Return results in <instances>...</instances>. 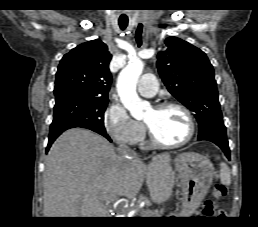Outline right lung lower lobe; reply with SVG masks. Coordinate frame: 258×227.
Listing matches in <instances>:
<instances>
[{
    "mask_svg": "<svg viewBox=\"0 0 258 227\" xmlns=\"http://www.w3.org/2000/svg\"><path fill=\"white\" fill-rule=\"evenodd\" d=\"M74 127H78L75 124L72 123H68V122H63V121H55L52 122L51 126H50V134H49V141H48V145L46 148V152H48L50 146L52 145V143L55 141V139L65 130L70 129V128H74ZM101 135H103L104 137H106L109 141H111L110 137L106 134L105 132H97Z\"/></svg>",
    "mask_w": 258,
    "mask_h": 227,
    "instance_id": "1",
    "label": "right lung lower lobe"
}]
</instances>
